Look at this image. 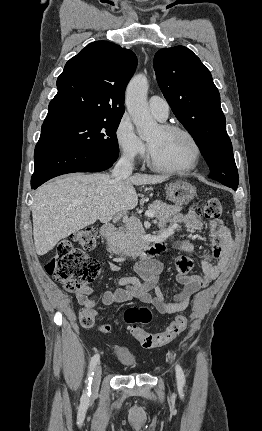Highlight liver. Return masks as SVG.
<instances>
[{
	"label": "liver",
	"instance_id": "liver-1",
	"mask_svg": "<svg viewBox=\"0 0 262 431\" xmlns=\"http://www.w3.org/2000/svg\"><path fill=\"white\" fill-rule=\"evenodd\" d=\"M166 176L134 174L117 180L108 174H72L39 187L32 206L34 245L45 255L61 240L97 220L107 223L134 209L133 185L157 184Z\"/></svg>",
	"mask_w": 262,
	"mask_h": 431
}]
</instances>
